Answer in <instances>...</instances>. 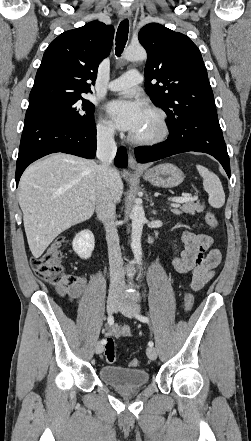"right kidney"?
Masks as SVG:
<instances>
[{
	"instance_id": "ca27d5eb",
	"label": "right kidney",
	"mask_w": 251,
	"mask_h": 441,
	"mask_svg": "<svg viewBox=\"0 0 251 441\" xmlns=\"http://www.w3.org/2000/svg\"><path fill=\"white\" fill-rule=\"evenodd\" d=\"M95 239L90 230L80 231L73 239L72 247L81 259H88L94 250Z\"/></svg>"
}]
</instances>
